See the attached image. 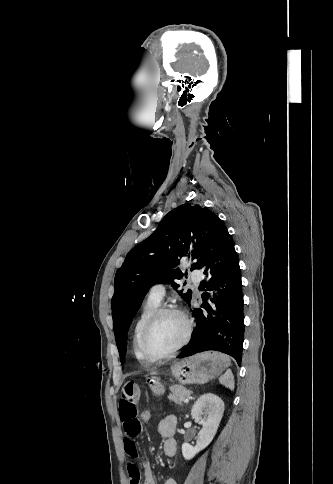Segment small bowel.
Wrapping results in <instances>:
<instances>
[{
  "instance_id": "c3829d8e",
  "label": "small bowel",
  "mask_w": 333,
  "mask_h": 484,
  "mask_svg": "<svg viewBox=\"0 0 333 484\" xmlns=\"http://www.w3.org/2000/svg\"><path fill=\"white\" fill-rule=\"evenodd\" d=\"M139 399V386L134 382L126 383L121 391L118 413L125 432L124 449L127 455L132 459H137L139 457L135 438H137L142 432V424L137 414V404ZM157 429L158 433L165 439L163 444L164 454L168 457L174 456L177 450V444L173 437L176 429V418L174 416L163 418L158 423ZM142 469L144 475L143 484H155V478L150 462L143 460ZM127 471L130 484H141L140 471L135 463L129 462L127 465ZM164 484H177V482L173 478H169Z\"/></svg>"
}]
</instances>
